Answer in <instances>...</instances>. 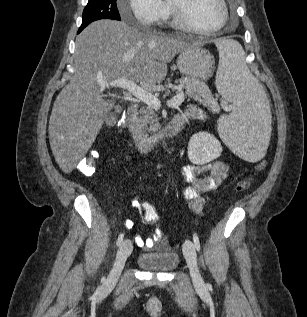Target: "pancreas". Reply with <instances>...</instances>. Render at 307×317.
Returning <instances> with one entry per match:
<instances>
[{
  "label": "pancreas",
  "instance_id": "obj_1",
  "mask_svg": "<svg viewBox=\"0 0 307 317\" xmlns=\"http://www.w3.org/2000/svg\"><path fill=\"white\" fill-rule=\"evenodd\" d=\"M179 84L185 90L186 97L193 98L200 103L209 107L211 111H218V103L211 97L207 87L198 79L182 77L178 80ZM182 92V91H179ZM156 110L149 106H143L139 113L132 118V126L137 127L140 132L147 136L148 133H155L160 128L158 123ZM159 135H155L154 139H158Z\"/></svg>",
  "mask_w": 307,
  "mask_h": 317
}]
</instances>
